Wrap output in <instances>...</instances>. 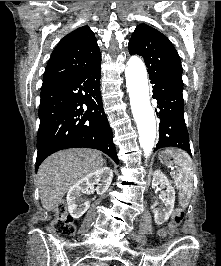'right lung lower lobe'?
Returning a JSON list of instances; mask_svg holds the SVG:
<instances>
[{"instance_id": "right-lung-lower-lobe-1", "label": "right lung lower lobe", "mask_w": 221, "mask_h": 266, "mask_svg": "<svg viewBox=\"0 0 221 266\" xmlns=\"http://www.w3.org/2000/svg\"><path fill=\"white\" fill-rule=\"evenodd\" d=\"M101 62L41 92L36 171L56 151L98 149L119 163L100 93Z\"/></svg>"}]
</instances>
